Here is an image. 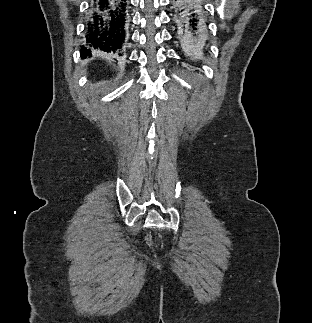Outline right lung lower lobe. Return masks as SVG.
Wrapping results in <instances>:
<instances>
[{
	"instance_id": "right-lung-lower-lobe-1",
	"label": "right lung lower lobe",
	"mask_w": 312,
	"mask_h": 323,
	"mask_svg": "<svg viewBox=\"0 0 312 323\" xmlns=\"http://www.w3.org/2000/svg\"><path fill=\"white\" fill-rule=\"evenodd\" d=\"M89 4L81 57L92 56V50L121 56L129 26L127 0H92Z\"/></svg>"
}]
</instances>
